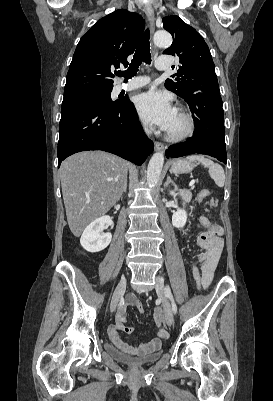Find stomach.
Instances as JSON below:
<instances>
[{
  "label": "stomach",
  "mask_w": 273,
  "mask_h": 401,
  "mask_svg": "<svg viewBox=\"0 0 273 401\" xmlns=\"http://www.w3.org/2000/svg\"><path fill=\"white\" fill-rule=\"evenodd\" d=\"M171 170L175 174H181V172H190L193 170V166H196L192 160H186V158H178V160H171Z\"/></svg>",
  "instance_id": "obj_1"
}]
</instances>
